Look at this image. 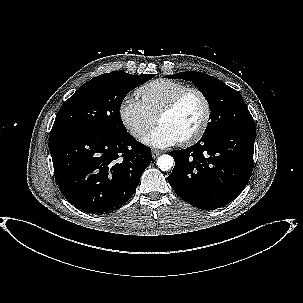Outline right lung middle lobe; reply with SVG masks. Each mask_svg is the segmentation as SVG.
<instances>
[{"instance_id": "1", "label": "right lung middle lobe", "mask_w": 303, "mask_h": 303, "mask_svg": "<svg viewBox=\"0 0 303 303\" xmlns=\"http://www.w3.org/2000/svg\"><path fill=\"white\" fill-rule=\"evenodd\" d=\"M154 77L122 71L105 73L83 84L59 110L50 134L90 132L121 135L127 132L120 106L126 95Z\"/></svg>"}]
</instances>
